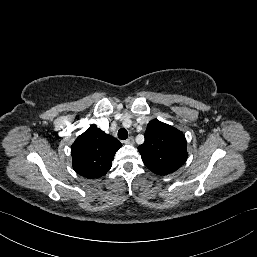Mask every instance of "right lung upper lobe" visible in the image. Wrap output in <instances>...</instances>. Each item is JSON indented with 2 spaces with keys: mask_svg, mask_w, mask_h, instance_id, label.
Segmentation results:
<instances>
[{
  "mask_svg": "<svg viewBox=\"0 0 257 257\" xmlns=\"http://www.w3.org/2000/svg\"><path fill=\"white\" fill-rule=\"evenodd\" d=\"M122 144L96 125H91L71 147L73 169L87 179L104 176Z\"/></svg>",
  "mask_w": 257,
  "mask_h": 257,
  "instance_id": "right-lung-upper-lobe-1",
  "label": "right lung upper lobe"
}]
</instances>
